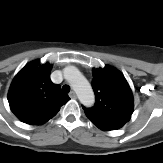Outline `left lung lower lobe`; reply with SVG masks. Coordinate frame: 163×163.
Returning a JSON list of instances; mask_svg holds the SVG:
<instances>
[{"label":"left lung lower lobe","mask_w":163,"mask_h":163,"mask_svg":"<svg viewBox=\"0 0 163 163\" xmlns=\"http://www.w3.org/2000/svg\"><path fill=\"white\" fill-rule=\"evenodd\" d=\"M93 124L103 131L117 130L122 127L120 125H112V124H102V123H93Z\"/></svg>","instance_id":"left-lung-lower-lobe-1"}]
</instances>
